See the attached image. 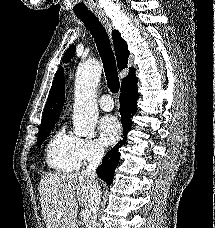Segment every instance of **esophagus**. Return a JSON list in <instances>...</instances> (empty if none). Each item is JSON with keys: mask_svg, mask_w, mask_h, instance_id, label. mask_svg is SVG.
Here are the masks:
<instances>
[{"mask_svg": "<svg viewBox=\"0 0 215 228\" xmlns=\"http://www.w3.org/2000/svg\"><path fill=\"white\" fill-rule=\"evenodd\" d=\"M100 22L102 23V25L105 27L106 31L108 32V34L111 37V32H112V25L110 20L108 19V17L105 14H98L97 15Z\"/></svg>", "mask_w": 215, "mask_h": 228, "instance_id": "34e87169", "label": "esophagus"}]
</instances>
